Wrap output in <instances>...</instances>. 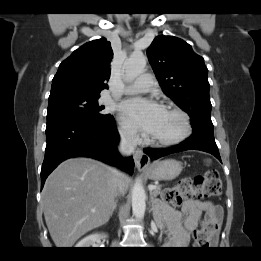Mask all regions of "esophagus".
<instances>
[{"mask_svg":"<svg viewBox=\"0 0 261 261\" xmlns=\"http://www.w3.org/2000/svg\"><path fill=\"white\" fill-rule=\"evenodd\" d=\"M134 162L139 170H144L149 166V156L142 149L137 148L134 153Z\"/></svg>","mask_w":261,"mask_h":261,"instance_id":"esophagus-1","label":"esophagus"}]
</instances>
